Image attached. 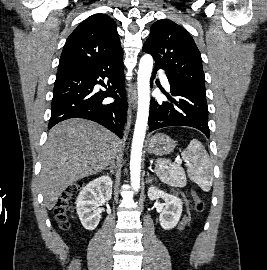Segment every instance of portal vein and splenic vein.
Instances as JSON below:
<instances>
[{
    "instance_id": "obj_1",
    "label": "portal vein and splenic vein",
    "mask_w": 267,
    "mask_h": 270,
    "mask_svg": "<svg viewBox=\"0 0 267 270\" xmlns=\"http://www.w3.org/2000/svg\"><path fill=\"white\" fill-rule=\"evenodd\" d=\"M176 162L180 163V162H182V160H181L179 157H177V158H176ZM187 164H188V163H187Z\"/></svg>"
}]
</instances>
